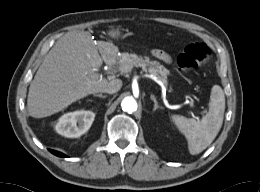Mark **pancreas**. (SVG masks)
Wrapping results in <instances>:
<instances>
[{
  "label": "pancreas",
  "instance_id": "obj_1",
  "mask_svg": "<svg viewBox=\"0 0 260 192\" xmlns=\"http://www.w3.org/2000/svg\"><path fill=\"white\" fill-rule=\"evenodd\" d=\"M128 65L131 68L142 67L144 71H148L150 74L157 76L164 85H167V75L169 71L162 65L155 61H150L149 58H143L136 54L122 53L119 59V66Z\"/></svg>",
  "mask_w": 260,
  "mask_h": 192
}]
</instances>
